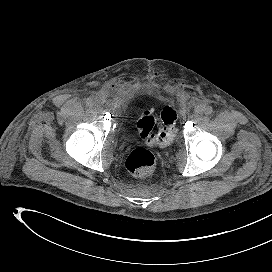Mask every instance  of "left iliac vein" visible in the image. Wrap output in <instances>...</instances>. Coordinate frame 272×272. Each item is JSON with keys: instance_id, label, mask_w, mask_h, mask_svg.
Wrapping results in <instances>:
<instances>
[{"instance_id": "1", "label": "left iliac vein", "mask_w": 272, "mask_h": 272, "mask_svg": "<svg viewBox=\"0 0 272 272\" xmlns=\"http://www.w3.org/2000/svg\"><path fill=\"white\" fill-rule=\"evenodd\" d=\"M204 111H205L204 106L198 105V106L196 107V110H195L196 113H195V115H194V119L200 118V117L203 115Z\"/></svg>"}]
</instances>
